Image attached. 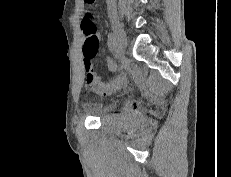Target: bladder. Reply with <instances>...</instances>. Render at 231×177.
Returning a JSON list of instances; mask_svg holds the SVG:
<instances>
[{
    "label": "bladder",
    "instance_id": "1",
    "mask_svg": "<svg viewBox=\"0 0 231 177\" xmlns=\"http://www.w3.org/2000/svg\"><path fill=\"white\" fill-rule=\"evenodd\" d=\"M89 106L92 107V108H97L98 104L96 102H90Z\"/></svg>",
    "mask_w": 231,
    "mask_h": 177
}]
</instances>
